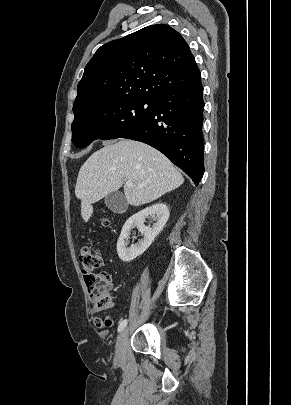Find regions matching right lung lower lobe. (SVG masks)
I'll list each match as a JSON object with an SVG mask.
<instances>
[{
  "instance_id": "98d812e1",
  "label": "right lung lower lobe",
  "mask_w": 291,
  "mask_h": 405,
  "mask_svg": "<svg viewBox=\"0 0 291 405\" xmlns=\"http://www.w3.org/2000/svg\"><path fill=\"white\" fill-rule=\"evenodd\" d=\"M202 93L200 76L165 90L146 120L122 138L156 148L198 184L204 173Z\"/></svg>"
}]
</instances>
